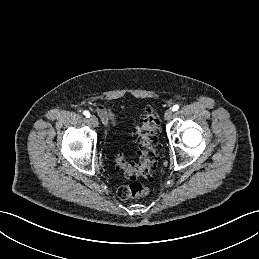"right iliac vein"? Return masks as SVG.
Masks as SVG:
<instances>
[{
  "label": "right iliac vein",
  "mask_w": 259,
  "mask_h": 259,
  "mask_svg": "<svg viewBox=\"0 0 259 259\" xmlns=\"http://www.w3.org/2000/svg\"><path fill=\"white\" fill-rule=\"evenodd\" d=\"M89 121H90V123H91L94 127H98L99 122H98V119H97L95 116H91V117L89 118Z\"/></svg>",
  "instance_id": "right-iliac-vein-1"
}]
</instances>
